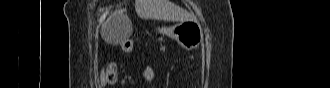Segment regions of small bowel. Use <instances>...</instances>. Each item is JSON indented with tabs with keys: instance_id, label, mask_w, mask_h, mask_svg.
<instances>
[{
	"instance_id": "small-bowel-1",
	"label": "small bowel",
	"mask_w": 330,
	"mask_h": 88,
	"mask_svg": "<svg viewBox=\"0 0 330 88\" xmlns=\"http://www.w3.org/2000/svg\"><path fill=\"white\" fill-rule=\"evenodd\" d=\"M122 50L124 52H130L131 51V50H129V51L128 50H125L123 48H122ZM153 77H154V69L151 66H149V65L145 66L144 72H143V79H144V81L146 83L150 84L151 81H152V79H153Z\"/></svg>"
}]
</instances>
